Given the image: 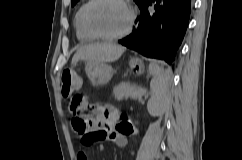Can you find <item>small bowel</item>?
I'll return each mask as SVG.
<instances>
[{
	"mask_svg": "<svg viewBox=\"0 0 242 160\" xmlns=\"http://www.w3.org/2000/svg\"><path fill=\"white\" fill-rule=\"evenodd\" d=\"M92 123L95 130H100L103 132L108 131L104 137L108 141L116 144L119 147L127 146L126 134L130 133H124L116 128V119L114 118L113 113H104V119H95ZM108 128L110 129L108 130ZM78 160H88L86 153L80 152L78 154Z\"/></svg>",
	"mask_w": 242,
	"mask_h": 160,
	"instance_id": "1",
	"label": "small bowel"
}]
</instances>
